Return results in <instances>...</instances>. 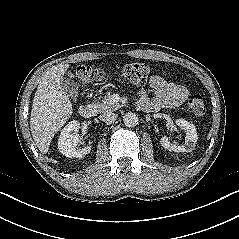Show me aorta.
Instances as JSON below:
<instances>
[{
	"label": "aorta",
	"mask_w": 239,
	"mask_h": 239,
	"mask_svg": "<svg viewBox=\"0 0 239 239\" xmlns=\"http://www.w3.org/2000/svg\"><path fill=\"white\" fill-rule=\"evenodd\" d=\"M123 122L127 127H135L138 124V116L133 112H128L124 115Z\"/></svg>",
	"instance_id": "aorta-1"
}]
</instances>
